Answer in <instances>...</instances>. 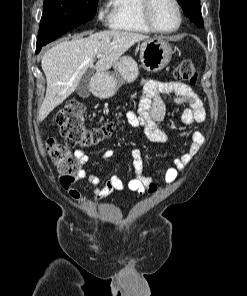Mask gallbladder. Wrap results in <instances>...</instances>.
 Returning <instances> with one entry per match:
<instances>
[{
    "label": "gallbladder",
    "instance_id": "gallbladder-1",
    "mask_svg": "<svg viewBox=\"0 0 247 296\" xmlns=\"http://www.w3.org/2000/svg\"><path fill=\"white\" fill-rule=\"evenodd\" d=\"M91 74V70L86 71L82 76L78 86L76 87V93L81 98H87L90 95Z\"/></svg>",
    "mask_w": 247,
    "mask_h": 296
}]
</instances>
